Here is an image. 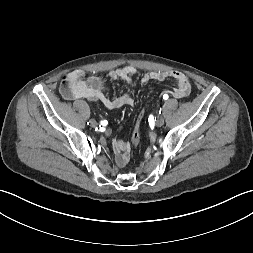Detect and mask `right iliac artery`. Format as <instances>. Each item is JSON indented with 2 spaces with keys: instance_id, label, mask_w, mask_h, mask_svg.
I'll use <instances>...</instances> for the list:
<instances>
[{
  "instance_id": "right-iliac-artery-1",
  "label": "right iliac artery",
  "mask_w": 253,
  "mask_h": 253,
  "mask_svg": "<svg viewBox=\"0 0 253 253\" xmlns=\"http://www.w3.org/2000/svg\"><path fill=\"white\" fill-rule=\"evenodd\" d=\"M101 124H102V125H105V124H106V121H101Z\"/></svg>"
}]
</instances>
